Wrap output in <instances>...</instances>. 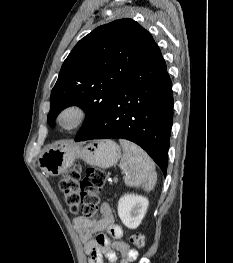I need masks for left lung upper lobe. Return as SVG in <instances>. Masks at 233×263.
Segmentation results:
<instances>
[{
    "label": "left lung upper lobe",
    "mask_w": 233,
    "mask_h": 263,
    "mask_svg": "<svg viewBox=\"0 0 233 263\" xmlns=\"http://www.w3.org/2000/svg\"><path fill=\"white\" fill-rule=\"evenodd\" d=\"M153 42L151 34L132 19L102 25L81 39L64 61L52 89L48 123L64 108L80 106L86 119L75 139L79 141L100 120Z\"/></svg>",
    "instance_id": "obj_1"
}]
</instances>
